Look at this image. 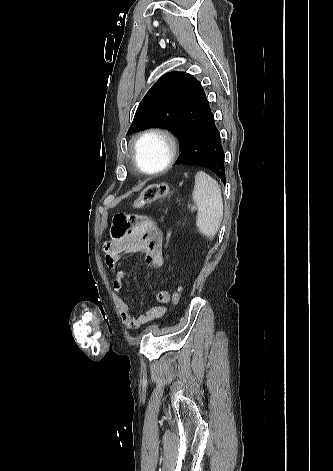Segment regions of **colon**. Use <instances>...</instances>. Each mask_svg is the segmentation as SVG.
I'll return each mask as SVG.
<instances>
[{"label": "colon", "instance_id": "1", "mask_svg": "<svg viewBox=\"0 0 333 471\" xmlns=\"http://www.w3.org/2000/svg\"><path fill=\"white\" fill-rule=\"evenodd\" d=\"M171 195V188L166 183H157L147 186L133 202V208H142L156 200L167 198ZM180 301V288L176 287L172 294V302L175 306Z\"/></svg>", "mask_w": 333, "mask_h": 471}]
</instances>
